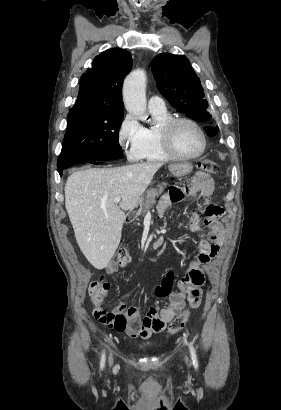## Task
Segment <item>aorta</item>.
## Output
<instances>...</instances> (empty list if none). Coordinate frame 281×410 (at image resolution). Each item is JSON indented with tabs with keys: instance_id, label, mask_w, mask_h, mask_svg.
Returning a JSON list of instances; mask_svg holds the SVG:
<instances>
[{
	"instance_id": "obj_1",
	"label": "aorta",
	"mask_w": 281,
	"mask_h": 410,
	"mask_svg": "<svg viewBox=\"0 0 281 410\" xmlns=\"http://www.w3.org/2000/svg\"><path fill=\"white\" fill-rule=\"evenodd\" d=\"M146 73L143 70L131 72L123 85V101L126 110L137 116L140 120H146Z\"/></svg>"
}]
</instances>
